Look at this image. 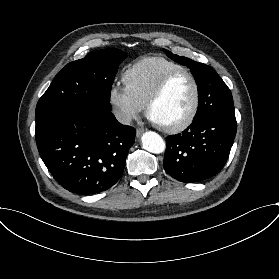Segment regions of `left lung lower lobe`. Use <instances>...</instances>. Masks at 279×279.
<instances>
[{
  "mask_svg": "<svg viewBox=\"0 0 279 279\" xmlns=\"http://www.w3.org/2000/svg\"><path fill=\"white\" fill-rule=\"evenodd\" d=\"M235 117L207 114L182 133L166 138L164 169L181 182H199L225 165L236 136Z\"/></svg>",
  "mask_w": 279,
  "mask_h": 279,
  "instance_id": "1",
  "label": "left lung lower lobe"
}]
</instances>
